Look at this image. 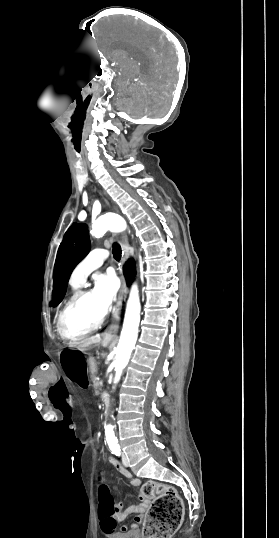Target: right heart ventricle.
<instances>
[{
    "instance_id": "e07e8e85",
    "label": "right heart ventricle",
    "mask_w": 279,
    "mask_h": 538,
    "mask_svg": "<svg viewBox=\"0 0 279 538\" xmlns=\"http://www.w3.org/2000/svg\"><path fill=\"white\" fill-rule=\"evenodd\" d=\"M103 222H104V219H103V216H102L101 212L93 211L92 215H91V222H90V231H91V233L92 234H98L100 232L101 226L103 225ZM74 271H73V273H74ZM70 285H71L70 293H69L68 297L66 298L60 312L62 311L64 306L69 302V300L78 292V290L83 285V283L75 282L72 279V276H71ZM60 312H59V314H60ZM59 314H58V317H59Z\"/></svg>"
}]
</instances>
